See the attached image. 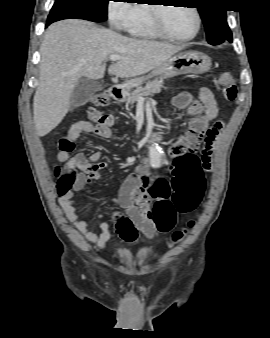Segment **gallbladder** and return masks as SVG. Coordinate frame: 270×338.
Returning <instances> with one entry per match:
<instances>
[{"mask_svg": "<svg viewBox=\"0 0 270 338\" xmlns=\"http://www.w3.org/2000/svg\"><path fill=\"white\" fill-rule=\"evenodd\" d=\"M100 90H102V85L99 82L80 79L72 91L70 102L74 107L82 106Z\"/></svg>", "mask_w": 270, "mask_h": 338, "instance_id": "bac80fb5", "label": "gallbladder"}]
</instances>
